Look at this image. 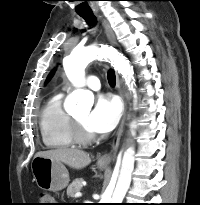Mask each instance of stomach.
<instances>
[{"instance_id":"stomach-1","label":"stomach","mask_w":200,"mask_h":205,"mask_svg":"<svg viewBox=\"0 0 200 205\" xmlns=\"http://www.w3.org/2000/svg\"><path fill=\"white\" fill-rule=\"evenodd\" d=\"M99 168L106 165L98 163ZM31 169L37 185L43 190L60 191L69 183V174L60 161L35 156L31 162Z\"/></svg>"}]
</instances>
